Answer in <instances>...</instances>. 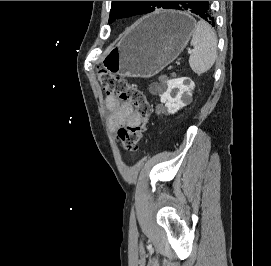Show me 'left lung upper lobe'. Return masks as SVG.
I'll list each match as a JSON object with an SVG mask.
<instances>
[{
    "mask_svg": "<svg viewBox=\"0 0 271 266\" xmlns=\"http://www.w3.org/2000/svg\"><path fill=\"white\" fill-rule=\"evenodd\" d=\"M174 1H112L109 23L117 18L153 12L158 8L168 9Z\"/></svg>",
    "mask_w": 271,
    "mask_h": 266,
    "instance_id": "obj_1",
    "label": "left lung upper lobe"
}]
</instances>
